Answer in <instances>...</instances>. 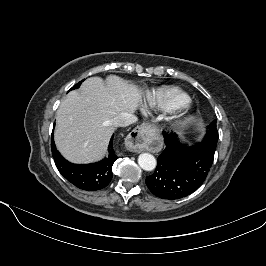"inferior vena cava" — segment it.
I'll return each mask as SVG.
<instances>
[{"instance_id": "602c4592", "label": "inferior vena cava", "mask_w": 266, "mask_h": 266, "mask_svg": "<svg viewBox=\"0 0 266 266\" xmlns=\"http://www.w3.org/2000/svg\"><path fill=\"white\" fill-rule=\"evenodd\" d=\"M137 121V117L131 113H122L111 120L114 127H126Z\"/></svg>"}]
</instances>
